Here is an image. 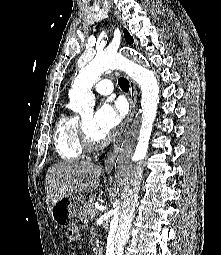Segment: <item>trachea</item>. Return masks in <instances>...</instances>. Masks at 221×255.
<instances>
[{"instance_id":"1","label":"trachea","mask_w":221,"mask_h":255,"mask_svg":"<svg viewBox=\"0 0 221 255\" xmlns=\"http://www.w3.org/2000/svg\"><path fill=\"white\" fill-rule=\"evenodd\" d=\"M118 84L120 86V88L123 90V91H128L129 90V82L127 79H125L124 77H120L118 79Z\"/></svg>"}]
</instances>
